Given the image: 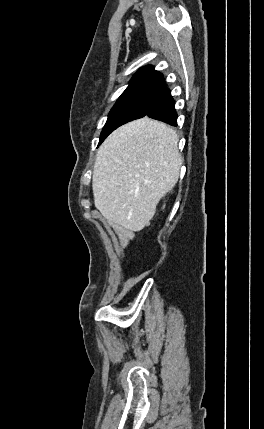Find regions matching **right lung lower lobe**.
I'll list each match as a JSON object with an SVG mask.
<instances>
[{
  "mask_svg": "<svg viewBox=\"0 0 264 429\" xmlns=\"http://www.w3.org/2000/svg\"><path fill=\"white\" fill-rule=\"evenodd\" d=\"M146 116L173 126L177 125L175 102L170 95V90L166 86L163 88L162 93L153 103Z\"/></svg>",
  "mask_w": 264,
  "mask_h": 429,
  "instance_id": "98d812e1",
  "label": "right lung lower lobe"
}]
</instances>
